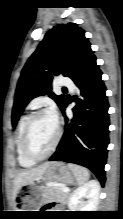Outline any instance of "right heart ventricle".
<instances>
[{
    "instance_id": "right-heart-ventricle-1",
    "label": "right heart ventricle",
    "mask_w": 123,
    "mask_h": 219,
    "mask_svg": "<svg viewBox=\"0 0 123 219\" xmlns=\"http://www.w3.org/2000/svg\"><path fill=\"white\" fill-rule=\"evenodd\" d=\"M27 118H28V115H23L20 118L18 127H17L16 138H15L17 160L22 167H26V168L32 167L35 164L34 161L29 160L24 155L23 150H22V135H23L24 126L27 121Z\"/></svg>"
}]
</instances>
